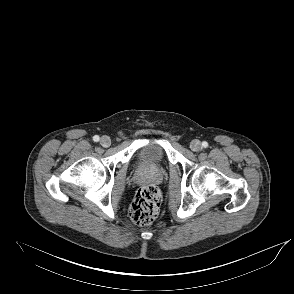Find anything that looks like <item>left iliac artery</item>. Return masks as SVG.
<instances>
[{
	"label": "left iliac artery",
	"mask_w": 294,
	"mask_h": 294,
	"mask_svg": "<svg viewBox=\"0 0 294 294\" xmlns=\"http://www.w3.org/2000/svg\"><path fill=\"white\" fill-rule=\"evenodd\" d=\"M202 146H203L204 148H206V147L208 146V143H207L206 141H204V142L202 143Z\"/></svg>",
	"instance_id": "left-iliac-artery-1"
}]
</instances>
